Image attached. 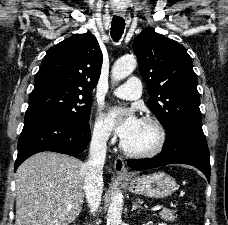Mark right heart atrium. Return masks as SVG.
<instances>
[{"instance_id":"d8ad5b80","label":"right heart atrium","mask_w":228,"mask_h":225,"mask_svg":"<svg viewBox=\"0 0 228 225\" xmlns=\"http://www.w3.org/2000/svg\"><path fill=\"white\" fill-rule=\"evenodd\" d=\"M92 137L98 143L106 144L111 140V132L101 114H97L92 128Z\"/></svg>"}]
</instances>
